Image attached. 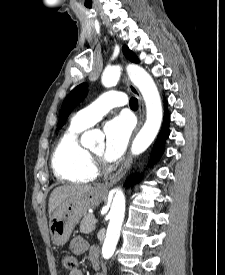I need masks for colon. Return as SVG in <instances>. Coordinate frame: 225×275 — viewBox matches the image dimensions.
Instances as JSON below:
<instances>
[{
	"label": "colon",
	"mask_w": 225,
	"mask_h": 275,
	"mask_svg": "<svg viewBox=\"0 0 225 275\" xmlns=\"http://www.w3.org/2000/svg\"><path fill=\"white\" fill-rule=\"evenodd\" d=\"M62 265L68 271H75L77 269V259L72 254H65L62 257Z\"/></svg>",
	"instance_id": "1"
}]
</instances>
